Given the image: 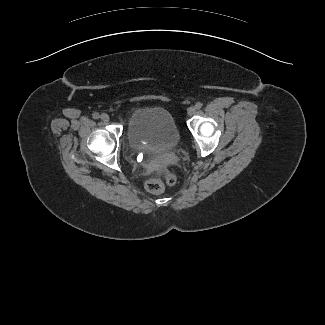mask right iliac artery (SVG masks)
I'll use <instances>...</instances> for the list:
<instances>
[{"label": "right iliac artery", "mask_w": 325, "mask_h": 325, "mask_svg": "<svg viewBox=\"0 0 325 325\" xmlns=\"http://www.w3.org/2000/svg\"><path fill=\"white\" fill-rule=\"evenodd\" d=\"M92 117H93L94 119H98L100 116H99V113H94V114L92 115Z\"/></svg>", "instance_id": "obj_1"}]
</instances>
